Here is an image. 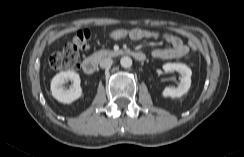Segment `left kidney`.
I'll use <instances>...</instances> for the list:
<instances>
[{
  "instance_id": "5707ae66",
  "label": "left kidney",
  "mask_w": 244,
  "mask_h": 157,
  "mask_svg": "<svg viewBox=\"0 0 244 157\" xmlns=\"http://www.w3.org/2000/svg\"><path fill=\"white\" fill-rule=\"evenodd\" d=\"M163 69L165 72L177 71L181 74V78L177 88L166 87L162 91V96L176 98L186 94L191 86V69L183 63H166L163 65Z\"/></svg>"
}]
</instances>
